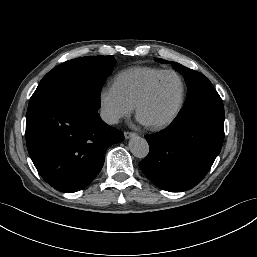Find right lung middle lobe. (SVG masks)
I'll return each mask as SVG.
<instances>
[{
  "label": "right lung middle lobe",
  "instance_id": "right-lung-middle-lobe-1",
  "mask_svg": "<svg viewBox=\"0 0 257 257\" xmlns=\"http://www.w3.org/2000/svg\"><path fill=\"white\" fill-rule=\"evenodd\" d=\"M115 63L113 56H87L66 61L43 77L30 100L74 93L99 108L102 86Z\"/></svg>",
  "mask_w": 257,
  "mask_h": 257
}]
</instances>
